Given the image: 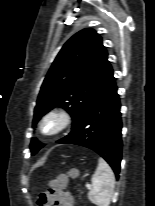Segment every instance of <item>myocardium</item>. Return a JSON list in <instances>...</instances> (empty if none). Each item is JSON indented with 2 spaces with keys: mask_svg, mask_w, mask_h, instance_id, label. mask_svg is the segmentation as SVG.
<instances>
[{
  "mask_svg": "<svg viewBox=\"0 0 155 206\" xmlns=\"http://www.w3.org/2000/svg\"><path fill=\"white\" fill-rule=\"evenodd\" d=\"M73 116L68 109L54 108L48 111L40 123V131L45 136H56L71 126Z\"/></svg>",
  "mask_w": 155,
  "mask_h": 206,
  "instance_id": "1",
  "label": "myocardium"
}]
</instances>
